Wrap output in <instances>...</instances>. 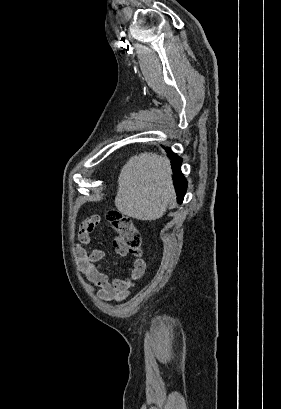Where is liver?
<instances>
[{
    "label": "liver",
    "instance_id": "liver-1",
    "mask_svg": "<svg viewBox=\"0 0 281 409\" xmlns=\"http://www.w3.org/2000/svg\"><path fill=\"white\" fill-rule=\"evenodd\" d=\"M171 174L166 156L155 152L131 156L118 176L115 196L118 211L139 221L161 219L175 196Z\"/></svg>",
    "mask_w": 281,
    "mask_h": 409
}]
</instances>
